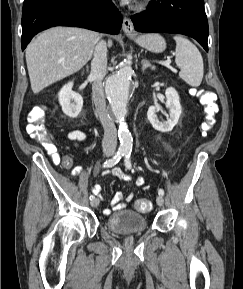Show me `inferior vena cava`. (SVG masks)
Segmentation results:
<instances>
[{"label": "inferior vena cava", "mask_w": 243, "mask_h": 289, "mask_svg": "<svg viewBox=\"0 0 243 289\" xmlns=\"http://www.w3.org/2000/svg\"><path fill=\"white\" fill-rule=\"evenodd\" d=\"M107 72V45L99 41L95 46L94 58L91 62L90 77L93 79L92 94L95 107L104 128L102 148L105 153L113 154L117 146V131L107 108L102 88V80Z\"/></svg>", "instance_id": "1"}]
</instances>
